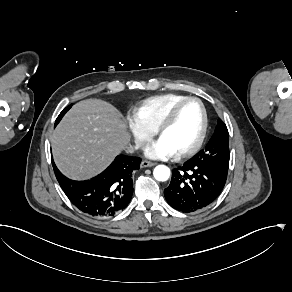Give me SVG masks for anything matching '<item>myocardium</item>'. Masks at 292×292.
Here are the masks:
<instances>
[{"instance_id":"myocardium-1","label":"myocardium","mask_w":292,"mask_h":292,"mask_svg":"<svg viewBox=\"0 0 292 292\" xmlns=\"http://www.w3.org/2000/svg\"><path fill=\"white\" fill-rule=\"evenodd\" d=\"M191 101L196 102L199 105L200 112H201L200 127H199V131L194 142L187 148L177 151V153L180 156H186V155L195 153L200 148L201 144L203 143V140L206 134V129H207V112H206L203 102L199 98H196V97H185L183 99H180L179 101L175 102L172 106L168 108V110L165 112V114L161 118L156 128L157 134L159 136H162L164 130L173 121L178 110L185 103L191 102Z\"/></svg>"}]
</instances>
